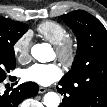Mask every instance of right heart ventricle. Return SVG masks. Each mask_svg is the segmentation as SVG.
I'll return each mask as SVG.
<instances>
[{
  "instance_id": "1",
  "label": "right heart ventricle",
  "mask_w": 107,
  "mask_h": 107,
  "mask_svg": "<svg viewBox=\"0 0 107 107\" xmlns=\"http://www.w3.org/2000/svg\"><path fill=\"white\" fill-rule=\"evenodd\" d=\"M37 32L53 45L59 44L64 38L68 37L67 28L55 21L40 23Z\"/></svg>"
}]
</instances>
